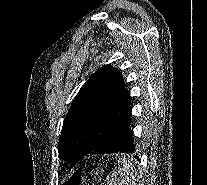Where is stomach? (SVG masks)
<instances>
[{
	"instance_id": "obj_1",
	"label": "stomach",
	"mask_w": 207,
	"mask_h": 185,
	"mask_svg": "<svg viewBox=\"0 0 207 185\" xmlns=\"http://www.w3.org/2000/svg\"><path fill=\"white\" fill-rule=\"evenodd\" d=\"M84 182V177L82 176L81 171H76L68 178H66L63 185H82Z\"/></svg>"
}]
</instances>
